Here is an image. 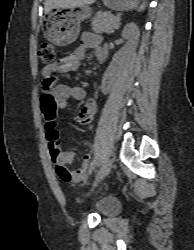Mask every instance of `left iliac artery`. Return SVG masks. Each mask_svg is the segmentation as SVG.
I'll list each match as a JSON object with an SVG mask.
<instances>
[{"label": "left iliac artery", "mask_w": 194, "mask_h": 250, "mask_svg": "<svg viewBox=\"0 0 194 250\" xmlns=\"http://www.w3.org/2000/svg\"><path fill=\"white\" fill-rule=\"evenodd\" d=\"M95 161L96 160H93V162L91 163L90 173L93 171V169L95 167Z\"/></svg>", "instance_id": "obj_1"}]
</instances>
